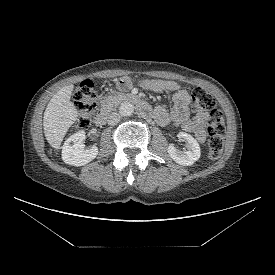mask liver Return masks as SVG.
Wrapping results in <instances>:
<instances>
[{"instance_id": "6515ba94", "label": "liver", "mask_w": 275, "mask_h": 275, "mask_svg": "<svg viewBox=\"0 0 275 275\" xmlns=\"http://www.w3.org/2000/svg\"><path fill=\"white\" fill-rule=\"evenodd\" d=\"M73 85L61 88L49 101L43 117L46 140L54 149H59L68 129L75 123L79 114L70 101Z\"/></svg>"}]
</instances>
